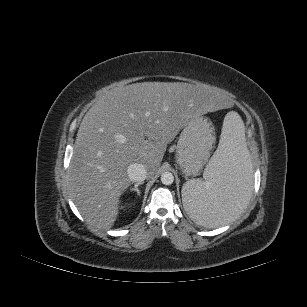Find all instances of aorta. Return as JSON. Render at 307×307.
<instances>
[{
  "mask_svg": "<svg viewBox=\"0 0 307 307\" xmlns=\"http://www.w3.org/2000/svg\"><path fill=\"white\" fill-rule=\"evenodd\" d=\"M160 179L164 185H171L174 182V175L171 172H164Z\"/></svg>",
  "mask_w": 307,
  "mask_h": 307,
  "instance_id": "762f6f07",
  "label": "aorta"
}]
</instances>
